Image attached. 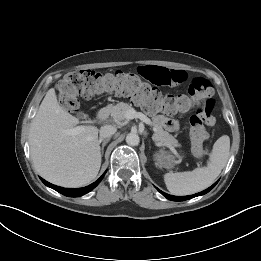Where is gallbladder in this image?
I'll use <instances>...</instances> for the list:
<instances>
[{"mask_svg":"<svg viewBox=\"0 0 261 261\" xmlns=\"http://www.w3.org/2000/svg\"><path fill=\"white\" fill-rule=\"evenodd\" d=\"M78 117L84 118V114H83V113H80V114L78 115Z\"/></svg>","mask_w":261,"mask_h":261,"instance_id":"1","label":"gallbladder"}]
</instances>
